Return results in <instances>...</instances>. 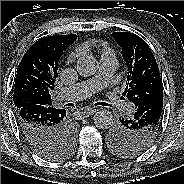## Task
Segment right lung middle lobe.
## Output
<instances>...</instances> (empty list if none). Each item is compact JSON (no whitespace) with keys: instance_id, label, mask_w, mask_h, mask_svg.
Instances as JSON below:
<instances>
[{"instance_id":"dd1d6c3e","label":"right lung middle lobe","mask_w":184,"mask_h":184,"mask_svg":"<svg viewBox=\"0 0 184 184\" xmlns=\"http://www.w3.org/2000/svg\"><path fill=\"white\" fill-rule=\"evenodd\" d=\"M76 132L73 127L66 131L61 144L41 150L38 154L47 160H63L69 157L75 146Z\"/></svg>"}]
</instances>
